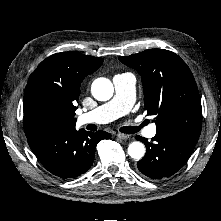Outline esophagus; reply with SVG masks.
Masks as SVG:
<instances>
[{
  "instance_id": "1",
  "label": "esophagus",
  "mask_w": 221,
  "mask_h": 221,
  "mask_svg": "<svg viewBox=\"0 0 221 221\" xmlns=\"http://www.w3.org/2000/svg\"><path fill=\"white\" fill-rule=\"evenodd\" d=\"M117 137H118L119 139L126 140V139H129V138H130V135L124 134V133H118V134H117Z\"/></svg>"
}]
</instances>
